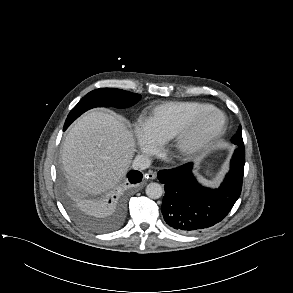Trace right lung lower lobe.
Wrapping results in <instances>:
<instances>
[{"mask_svg":"<svg viewBox=\"0 0 293 293\" xmlns=\"http://www.w3.org/2000/svg\"><path fill=\"white\" fill-rule=\"evenodd\" d=\"M128 180L130 183H138L142 179V174L139 171L132 170L127 175ZM96 211L100 213H110L112 214V217L114 218V221H120L123 217L124 213V202L121 197L118 196H112L103 199L102 201L98 202L94 205ZM113 229V227H110L108 230Z\"/></svg>","mask_w":293,"mask_h":293,"instance_id":"right-lung-lower-lobe-1","label":"right lung lower lobe"}]
</instances>
